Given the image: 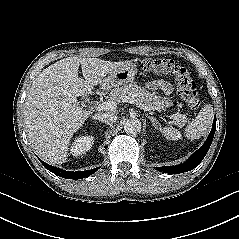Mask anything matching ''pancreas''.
I'll return each mask as SVG.
<instances>
[{
	"label": "pancreas",
	"instance_id": "cf45deb5",
	"mask_svg": "<svg viewBox=\"0 0 239 239\" xmlns=\"http://www.w3.org/2000/svg\"><path fill=\"white\" fill-rule=\"evenodd\" d=\"M126 97H132L136 101V103L148 106L152 108V110L160 111L172 104L169 99L162 100L158 96L150 93L145 88H142L141 86H138L136 84H129L111 90L108 96V100L114 101L115 103L119 104L120 102H123ZM186 122V116L180 114V117L177 119L175 124L182 127Z\"/></svg>",
	"mask_w": 239,
	"mask_h": 239
}]
</instances>
